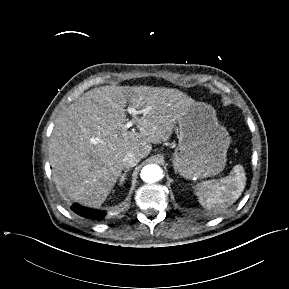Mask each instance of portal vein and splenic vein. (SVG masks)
<instances>
[{"label":"portal vein and splenic vein","instance_id":"18ae733b","mask_svg":"<svg viewBox=\"0 0 289 289\" xmlns=\"http://www.w3.org/2000/svg\"><path fill=\"white\" fill-rule=\"evenodd\" d=\"M149 110V108H146V109H143V110H136L135 108L133 107H128L127 111L129 114H131L133 116V119L128 121L125 125H124V129L127 130L128 128L132 127L133 124L137 121V118H138V114H141V113H147Z\"/></svg>","mask_w":289,"mask_h":289}]
</instances>
